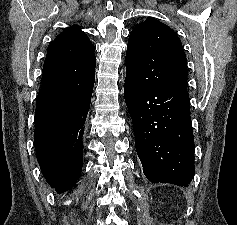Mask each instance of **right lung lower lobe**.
<instances>
[{
	"label": "right lung lower lobe",
	"mask_w": 237,
	"mask_h": 225,
	"mask_svg": "<svg viewBox=\"0 0 237 225\" xmlns=\"http://www.w3.org/2000/svg\"><path fill=\"white\" fill-rule=\"evenodd\" d=\"M94 80L75 90L37 96L34 147L42 174L58 193L71 189L82 171V136Z\"/></svg>",
	"instance_id": "98d812e1"
}]
</instances>
